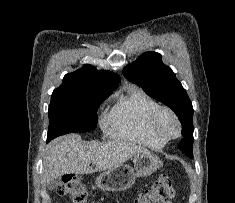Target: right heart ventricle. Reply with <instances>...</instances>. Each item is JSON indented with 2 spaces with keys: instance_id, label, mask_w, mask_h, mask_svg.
Instances as JSON below:
<instances>
[{
  "instance_id": "1",
  "label": "right heart ventricle",
  "mask_w": 235,
  "mask_h": 203,
  "mask_svg": "<svg viewBox=\"0 0 235 203\" xmlns=\"http://www.w3.org/2000/svg\"><path fill=\"white\" fill-rule=\"evenodd\" d=\"M159 104L143 90L131 87L116 95V102L105 119V126L113 137L150 148H162L166 142L148 130L150 114Z\"/></svg>"
}]
</instances>
